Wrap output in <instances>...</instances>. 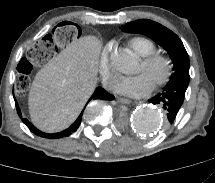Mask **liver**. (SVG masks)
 I'll return each instance as SVG.
<instances>
[{
  "instance_id": "obj_1",
  "label": "liver",
  "mask_w": 215,
  "mask_h": 183,
  "mask_svg": "<svg viewBox=\"0 0 215 183\" xmlns=\"http://www.w3.org/2000/svg\"><path fill=\"white\" fill-rule=\"evenodd\" d=\"M100 50L96 37H81L38 71L28 98L38 129L59 132L76 120L96 87Z\"/></svg>"
}]
</instances>
